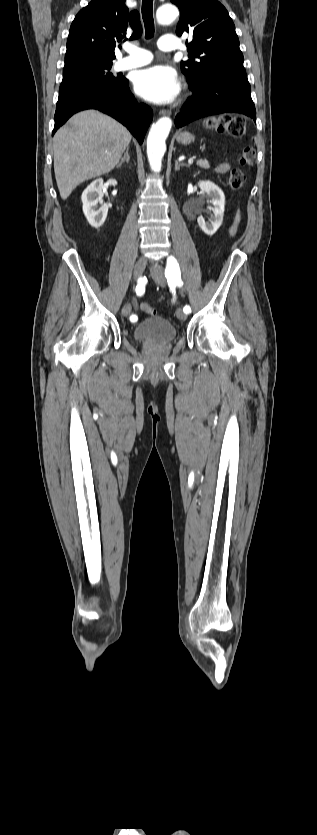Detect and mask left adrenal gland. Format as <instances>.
Listing matches in <instances>:
<instances>
[{
	"label": "left adrenal gland",
	"mask_w": 317,
	"mask_h": 835,
	"mask_svg": "<svg viewBox=\"0 0 317 835\" xmlns=\"http://www.w3.org/2000/svg\"><path fill=\"white\" fill-rule=\"evenodd\" d=\"M182 166L189 167V164L180 163L178 161H175V171L180 170V167H182Z\"/></svg>",
	"instance_id": "a2214340"
}]
</instances>
